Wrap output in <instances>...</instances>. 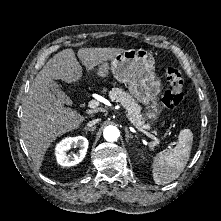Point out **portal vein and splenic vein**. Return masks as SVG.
I'll use <instances>...</instances> for the list:
<instances>
[{"mask_svg": "<svg viewBox=\"0 0 221 221\" xmlns=\"http://www.w3.org/2000/svg\"><path fill=\"white\" fill-rule=\"evenodd\" d=\"M99 105H100V102H99L98 100H91V101H89V103H88V107L91 108V109H95V108H97ZM125 113H126V112H125ZM126 117H127L128 120L130 121V123L133 124V125L136 127V129H137L138 131L143 132L147 137H149V138H151L152 140H154L153 143H152L153 145H157V144H160V143H161V141H160L159 139H157L156 137H154L152 134H150V133H148L147 131H145V130L139 128V127L135 124L134 120L132 119V117H131L128 113H126ZM165 144L168 146V148L171 149V148H173V145H174L175 143L172 142V143H165Z\"/></svg>", "mask_w": 221, "mask_h": 221, "instance_id": "1", "label": "portal vein and splenic vein"}]
</instances>
